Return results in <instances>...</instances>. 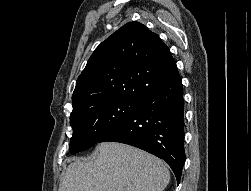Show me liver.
I'll use <instances>...</instances> for the list:
<instances>
[{"label":"liver","instance_id":"liver-1","mask_svg":"<svg viewBox=\"0 0 251 191\" xmlns=\"http://www.w3.org/2000/svg\"><path fill=\"white\" fill-rule=\"evenodd\" d=\"M95 153L69 163L59 191H163L170 181L165 161L138 147L104 141Z\"/></svg>","mask_w":251,"mask_h":191}]
</instances>
